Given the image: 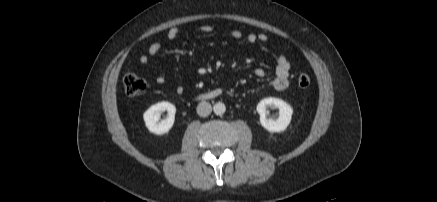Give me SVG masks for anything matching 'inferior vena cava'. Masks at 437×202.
Here are the masks:
<instances>
[{
    "instance_id": "inferior-vena-cava-1",
    "label": "inferior vena cava",
    "mask_w": 437,
    "mask_h": 202,
    "mask_svg": "<svg viewBox=\"0 0 437 202\" xmlns=\"http://www.w3.org/2000/svg\"><path fill=\"white\" fill-rule=\"evenodd\" d=\"M212 112V106L209 102L202 101L197 106V114L201 117H206Z\"/></svg>"
}]
</instances>
